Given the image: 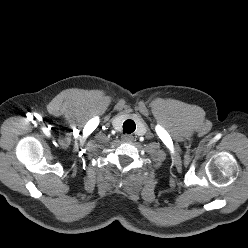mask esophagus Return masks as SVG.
Returning a JSON list of instances; mask_svg holds the SVG:
<instances>
[{
	"mask_svg": "<svg viewBox=\"0 0 248 248\" xmlns=\"http://www.w3.org/2000/svg\"><path fill=\"white\" fill-rule=\"evenodd\" d=\"M122 140L123 141H132L133 137L131 135L125 134V135L122 136Z\"/></svg>",
	"mask_w": 248,
	"mask_h": 248,
	"instance_id": "obj_1",
	"label": "esophagus"
}]
</instances>
